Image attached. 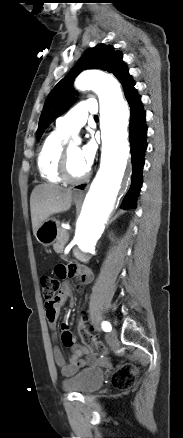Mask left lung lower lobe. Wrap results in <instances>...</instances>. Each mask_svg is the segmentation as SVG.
Returning a JSON list of instances; mask_svg holds the SVG:
<instances>
[{
  "instance_id": "left-lung-lower-lobe-1",
  "label": "left lung lower lobe",
  "mask_w": 183,
  "mask_h": 438,
  "mask_svg": "<svg viewBox=\"0 0 183 438\" xmlns=\"http://www.w3.org/2000/svg\"><path fill=\"white\" fill-rule=\"evenodd\" d=\"M134 81L131 79L125 86V97L130 105L131 116L129 124V139L132 157V183L129 191L123 199L121 208L131 209L142 186V169L144 166V153L147 148L145 123V111L142 107L141 98L134 88ZM84 185L77 188L83 189Z\"/></svg>"
}]
</instances>
